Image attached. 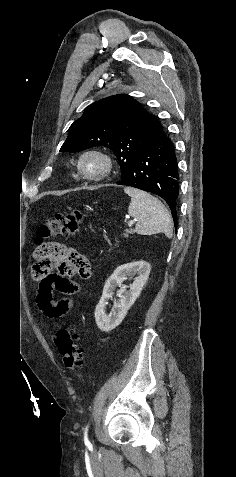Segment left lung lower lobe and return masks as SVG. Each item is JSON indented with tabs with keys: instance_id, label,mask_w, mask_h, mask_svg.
I'll use <instances>...</instances> for the list:
<instances>
[{
	"instance_id": "1",
	"label": "left lung lower lobe",
	"mask_w": 236,
	"mask_h": 477,
	"mask_svg": "<svg viewBox=\"0 0 236 477\" xmlns=\"http://www.w3.org/2000/svg\"><path fill=\"white\" fill-rule=\"evenodd\" d=\"M117 184L160 196L171 209L177 228L178 163L174 145L161 125L150 142L133 158L127 174Z\"/></svg>"
}]
</instances>
